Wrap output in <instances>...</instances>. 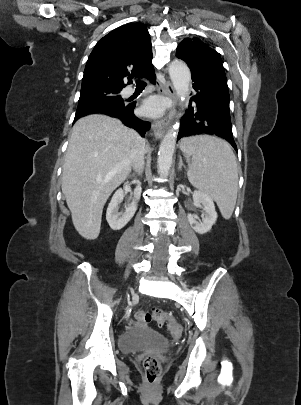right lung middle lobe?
<instances>
[{
	"label": "right lung middle lobe",
	"instance_id": "1",
	"mask_svg": "<svg viewBox=\"0 0 301 405\" xmlns=\"http://www.w3.org/2000/svg\"><path fill=\"white\" fill-rule=\"evenodd\" d=\"M120 91L121 89L109 87H95L81 90L76 114H82L101 107L126 105L119 95Z\"/></svg>",
	"mask_w": 301,
	"mask_h": 405
}]
</instances>
